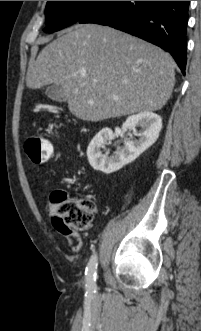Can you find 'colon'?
I'll return each mask as SVG.
<instances>
[{
	"instance_id": "colon-1",
	"label": "colon",
	"mask_w": 201,
	"mask_h": 331,
	"mask_svg": "<svg viewBox=\"0 0 201 331\" xmlns=\"http://www.w3.org/2000/svg\"><path fill=\"white\" fill-rule=\"evenodd\" d=\"M24 148L35 164L47 162L53 151L50 141L39 134L28 136ZM49 207L56 221L63 223L67 228L85 230L92 221L95 204L89 199L69 200L65 191L56 190L50 196Z\"/></svg>"
}]
</instances>
